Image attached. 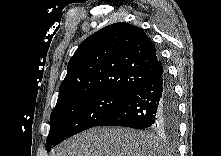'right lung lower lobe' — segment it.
Listing matches in <instances>:
<instances>
[{"instance_id":"right-lung-lower-lobe-1","label":"right lung lower lobe","mask_w":221,"mask_h":156,"mask_svg":"<svg viewBox=\"0 0 221 156\" xmlns=\"http://www.w3.org/2000/svg\"><path fill=\"white\" fill-rule=\"evenodd\" d=\"M178 119L173 86L167 72L163 71L139 87L98 126H124L175 132Z\"/></svg>"}]
</instances>
